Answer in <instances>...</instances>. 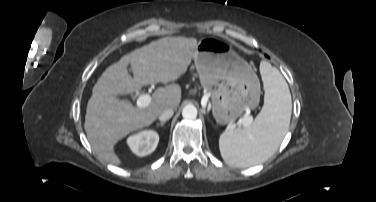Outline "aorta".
<instances>
[{
  "label": "aorta",
  "instance_id": "aorta-1",
  "mask_svg": "<svg viewBox=\"0 0 376 202\" xmlns=\"http://www.w3.org/2000/svg\"><path fill=\"white\" fill-rule=\"evenodd\" d=\"M197 113V108L192 104L186 105L182 110V116L186 120L196 119Z\"/></svg>",
  "mask_w": 376,
  "mask_h": 202
}]
</instances>
